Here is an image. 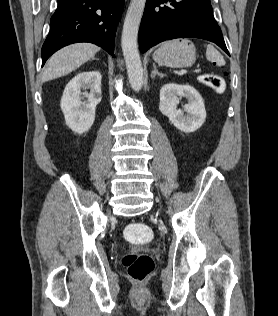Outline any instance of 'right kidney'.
Returning a JSON list of instances; mask_svg holds the SVG:
<instances>
[{
    "label": "right kidney",
    "instance_id": "obj_1",
    "mask_svg": "<svg viewBox=\"0 0 278 316\" xmlns=\"http://www.w3.org/2000/svg\"><path fill=\"white\" fill-rule=\"evenodd\" d=\"M101 78L99 71L81 72L65 87L61 109L66 125L78 134L88 131L94 123L96 105L102 99ZM82 89H90V93L81 92Z\"/></svg>",
    "mask_w": 278,
    "mask_h": 316
}]
</instances>
